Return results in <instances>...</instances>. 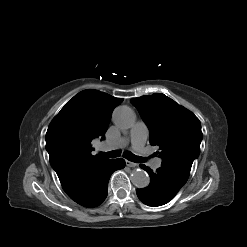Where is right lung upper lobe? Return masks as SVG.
<instances>
[{"label":"right lung upper lobe","mask_w":247,"mask_h":247,"mask_svg":"<svg viewBox=\"0 0 247 247\" xmlns=\"http://www.w3.org/2000/svg\"><path fill=\"white\" fill-rule=\"evenodd\" d=\"M122 101L104 92L84 90L52 120L46 133V150L60 182L107 160L91 154V141L104 139L112 111Z\"/></svg>","instance_id":"1"}]
</instances>
